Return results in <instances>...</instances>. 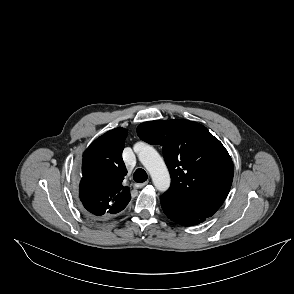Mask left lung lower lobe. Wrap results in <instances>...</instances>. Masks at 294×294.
<instances>
[{
    "instance_id": "obj_1",
    "label": "left lung lower lobe",
    "mask_w": 294,
    "mask_h": 294,
    "mask_svg": "<svg viewBox=\"0 0 294 294\" xmlns=\"http://www.w3.org/2000/svg\"><path fill=\"white\" fill-rule=\"evenodd\" d=\"M162 209L165 215L176 223L183 226H192L205 221L206 217H202L187 208L169 203L163 197L160 198Z\"/></svg>"
}]
</instances>
